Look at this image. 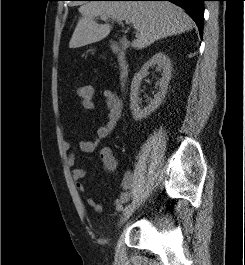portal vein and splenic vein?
<instances>
[{
    "label": "portal vein and splenic vein",
    "mask_w": 245,
    "mask_h": 265,
    "mask_svg": "<svg viewBox=\"0 0 245 265\" xmlns=\"http://www.w3.org/2000/svg\"><path fill=\"white\" fill-rule=\"evenodd\" d=\"M103 20L106 19V17H101ZM126 24H130V21L126 20Z\"/></svg>",
    "instance_id": "obj_1"
}]
</instances>
